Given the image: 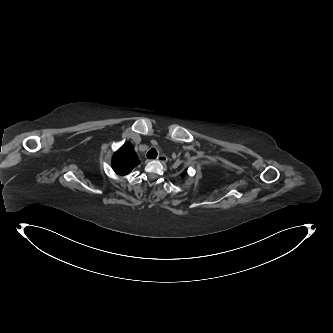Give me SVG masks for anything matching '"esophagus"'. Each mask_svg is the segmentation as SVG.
<instances>
[{
    "label": "esophagus",
    "instance_id": "1",
    "mask_svg": "<svg viewBox=\"0 0 333 333\" xmlns=\"http://www.w3.org/2000/svg\"><path fill=\"white\" fill-rule=\"evenodd\" d=\"M159 162L165 163L167 161V157L165 155H160L157 157Z\"/></svg>",
    "mask_w": 333,
    "mask_h": 333
}]
</instances>
